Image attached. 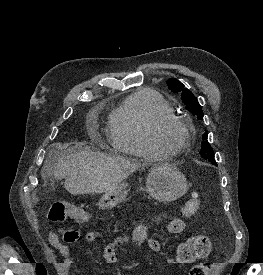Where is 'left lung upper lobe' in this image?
Listing matches in <instances>:
<instances>
[{
	"label": "left lung upper lobe",
	"mask_w": 263,
	"mask_h": 275,
	"mask_svg": "<svg viewBox=\"0 0 263 275\" xmlns=\"http://www.w3.org/2000/svg\"><path fill=\"white\" fill-rule=\"evenodd\" d=\"M167 85L169 86L170 90L174 93H181V99L183 103L186 105V109L190 111L193 115L197 116L199 120L203 119V111L200 106V104L197 101V98L192 94L191 91L184 88V85L179 82L177 79L172 78L167 81ZM207 134L205 133L203 135V142L202 147L200 150V155L202 158L210 161L212 164L217 165L214 157H213V151L209 144V142L206 140Z\"/></svg>",
	"instance_id": "5c2ea615"
}]
</instances>
